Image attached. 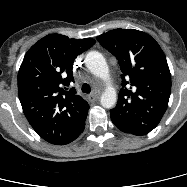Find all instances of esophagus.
I'll list each match as a JSON object with an SVG mask.
<instances>
[{"instance_id": "esophagus-1", "label": "esophagus", "mask_w": 187, "mask_h": 187, "mask_svg": "<svg viewBox=\"0 0 187 187\" xmlns=\"http://www.w3.org/2000/svg\"><path fill=\"white\" fill-rule=\"evenodd\" d=\"M99 97H100V94L94 92V93H92V94L89 95V100L92 101V102H94V101H97L99 99Z\"/></svg>"}]
</instances>
